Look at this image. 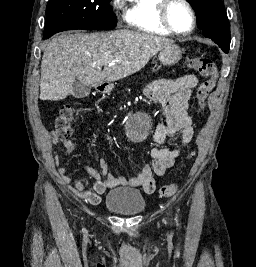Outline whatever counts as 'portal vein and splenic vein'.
I'll use <instances>...</instances> for the list:
<instances>
[{
    "instance_id": "obj_1",
    "label": "portal vein and splenic vein",
    "mask_w": 256,
    "mask_h": 267,
    "mask_svg": "<svg viewBox=\"0 0 256 267\" xmlns=\"http://www.w3.org/2000/svg\"><path fill=\"white\" fill-rule=\"evenodd\" d=\"M98 64H111V62H108V60H103V62H98Z\"/></svg>"
}]
</instances>
